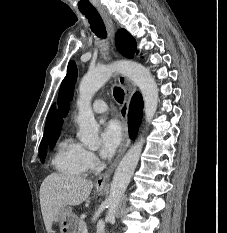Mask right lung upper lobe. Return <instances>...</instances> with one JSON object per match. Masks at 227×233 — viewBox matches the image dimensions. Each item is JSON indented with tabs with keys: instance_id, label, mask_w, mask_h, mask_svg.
Instances as JSON below:
<instances>
[{
	"instance_id": "obj_1",
	"label": "right lung upper lobe",
	"mask_w": 227,
	"mask_h": 233,
	"mask_svg": "<svg viewBox=\"0 0 227 233\" xmlns=\"http://www.w3.org/2000/svg\"><path fill=\"white\" fill-rule=\"evenodd\" d=\"M54 112H55V105H53L48 113L47 119H46V125H45V130H44V136L42 139V142L40 144L47 146L48 145V141L50 138V132H51V128H52V124H53V120H54Z\"/></svg>"
}]
</instances>
